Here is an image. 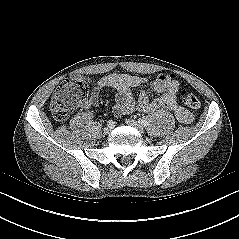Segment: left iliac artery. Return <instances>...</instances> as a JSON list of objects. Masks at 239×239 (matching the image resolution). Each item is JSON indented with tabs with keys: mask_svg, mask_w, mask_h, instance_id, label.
Here are the masks:
<instances>
[{
	"mask_svg": "<svg viewBox=\"0 0 239 239\" xmlns=\"http://www.w3.org/2000/svg\"><path fill=\"white\" fill-rule=\"evenodd\" d=\"M138 123L141 124L142 126H147L149 124L148 120L145 118H140L138 120Z\"/></svg>",
	"mask_w": 239,
	"mask_h": 239,
	"instance_id": "1",
	"label": "left iliac artery"
}]
</instances>
